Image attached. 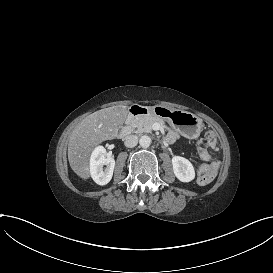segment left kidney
Here are the masks:
<instances>
[{
    "instance_id": "obj_1",
    "label": "left kidney",
    "mask_w": 273,
    "mask_h": 273,
    "mask_svg": "<svg viewBox=\"0 0 273 273\" xmlns=\"http://www.w3.org/2000/svg\"><path fill=\"white\" fill-rule=\"evenodd\" d=\"M172 166L175 176L181 182H190L195 178L194 167L186 158L174 156L172 158Z\"/></svg>"
}]
</instances>
